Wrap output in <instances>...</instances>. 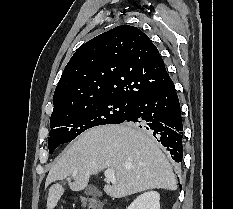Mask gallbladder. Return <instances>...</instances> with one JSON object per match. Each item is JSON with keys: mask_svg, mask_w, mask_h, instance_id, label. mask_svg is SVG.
Segmentation results:
<instances>
[{"mask_svg": "<svg viewBox=\"0 0 233 209\" xmlns=\"http://www.w3.org/2000/svg\"><path fill=\"white\" fill-rule=\"evenodd\" d=\"M85 193L88 195H93V196L100 194V192L94 186L88 187Z\"/></svg>", "mask_w": 233, "mask_h": 209, "instance_id": "obj_1", "label": "gallbladder"}]
</instances>
